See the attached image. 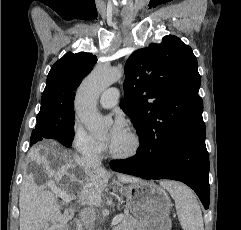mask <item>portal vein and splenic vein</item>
I'll list each match as a JSON object with an SVG mask.
<instances>
[{"mask_svg":"<svg viewBox=\"0 0 241 230\" xmlns=\"http://www.w3.org/2000/svg\"><path fill=\"white\" fill-rule=\"evenodd\" d=\"M58 196H60L63 200H66V201H70V200L75 199V197L66 196L65 192H61L60 194H58ZM123 219H124V215H122V214L116 216V217L113 219V221H112V225L118 224V223L121 222Z\"/></svg>","mask_w":241,"mask_h":230,"instance_id":"18ae733b","label":"portal vein and splenic vein"}]
</instances>
